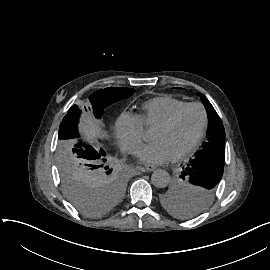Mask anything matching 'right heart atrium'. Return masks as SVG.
Masks as SVG:
<instances>
[{
	"instance_id": "right-heart-atrium-1",
	"label": "right heart atrium",
	"mask_w": 270,
	"mask_h": 270,
	"mask_svg": "<svg viewBox=\"0 0 270 270\" xmlns=\"http://www.w3.org/2000/svg\"><path fill=\"white\" fill-rule=\"evenodd\" d=\"M113 132L121 150L126 154L137 153L143 144V127L132 114L122 113L115 122Z\"/></svg>"
}]
</instances>
